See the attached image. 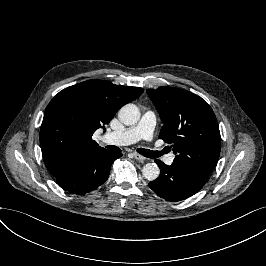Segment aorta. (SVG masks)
I'll use <instances>...</instances> for the list:
<instances>
[{"instance_id":"762f6f07","label":"aorta","mask_w":266,"mask_h":266,"mask_svg":"<svg viewBox=\"0 0 266 266\" xmlns=\"http://www.w3.org/2000/svg\"><path fill=\"white\" fill-rule=\"evenodd\" d=\"M140 118L139 108L132 103L122 106L118 113V119L124 125H133L138 123ZM142 173L148 181L156 180L160 175V169L155 163H148L143 166Z\"/></svg>"}]
</instances>
